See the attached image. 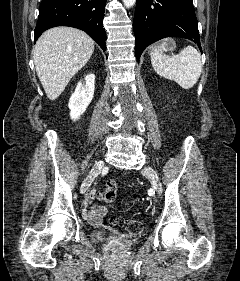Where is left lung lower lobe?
I'll list each match as a JSON object with an SVG mask.
<instances>
[{
    "label": "left lung lower lobe",
    "instance_id": "obj_1",
    "mask_svg": "<svg viewBox=\"0 0 240 281\" xmlns=\"http://www.w3.org/2000/svg\"><path fill=\"white\" fill-rule=\"evenodd\" d=\"M135 56L165 37H182L200 46L197 18L192 0H136L133 21Z\"/></svg>",
    "mask_w": 240,
    "mask_h": 281
}]
</instances>
